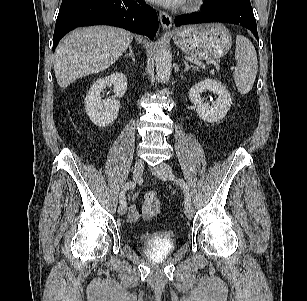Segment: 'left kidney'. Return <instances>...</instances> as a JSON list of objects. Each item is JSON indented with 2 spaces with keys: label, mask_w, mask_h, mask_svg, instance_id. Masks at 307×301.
<instances>
[{
  "label": "left kidney",
  "mask_w": 307,
  "mask_h": 301,
  "mask_svg": "<svg viewBox=\"0 0 307 301\" xmlns=\"http://www.w3.org/2000/svg\"><path fill=\"white\" fill-rule=\"evenodd\" d=\"M212 91L217 95V99L209 103H204L201 94L204 91ZM189 98L195 105L198 116L209 123H216L223 119L231 107L232 99L229 91L218 80L206 78L193 85L189 91Z\"/></svg>",
  "instance_id": "obj_1"
}]
</instances>
